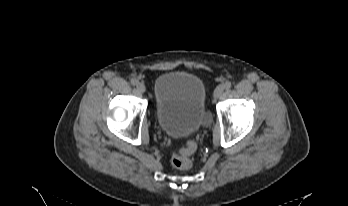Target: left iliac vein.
Segmentation results:
<instances>
[{
    "mask_svg": "<svg viewBox=\"0 0 348 206\" xmlns=\"http://www.w3.org/2000/svg\"><path fill=\"white\" fill-rule=\"evenodd\" d=\"M224 92V86L222 85H219L216 87L215 91H214V99H218L221 97V95L223 94Z\"/></svg>",
    "mask_w": 348,
    "mask_h": 206,
    "instance_id": "obj_1",
    "label": "left iliac vein"
}]
</instances>
